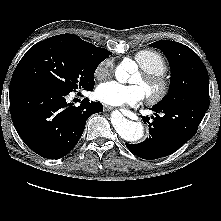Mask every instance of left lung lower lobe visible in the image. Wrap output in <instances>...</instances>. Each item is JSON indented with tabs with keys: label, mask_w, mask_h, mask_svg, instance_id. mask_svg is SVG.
<instances>
[{
	"label": "left lung lower lobe",
	"mask_w": 221,
	"mask_h": 221,
	"mask_svg": "<svg viewBox=\"0 0 221 221\" xmlns=\"http://www.w3.org/2000/svg\"><path fill=\"white\" fill-rule=\"evenodd\" d=\"M209 100L195 103H175L160 107L155 105L152 121L141 116L150 126V135L144 142L128 144L127 148L143 159H157L174 153L196 133L207 109ZM157 113H162L159 116Z\"/></svg>",
	"instance_id": "1"
}]
</instances>
